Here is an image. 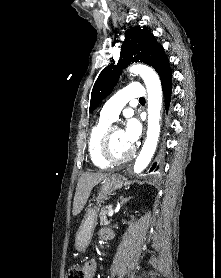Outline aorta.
Listing matches in <instances>:
<instances>
[{"mask_svg":"<svg viewBox=\"0 0 221 278\" xmlns=\"http://www.w3.org/2000/svg\"><path fill=\"white\" fill-rule=\"evenodd\" d=\"M129 72L139 74L148 92V127L147 136L134 164V172H142L150 163L157 147L160 135V110L162 105V88L157 73L149 66L134 64L129 67Z\"/></svg>","mask_w":221,"mask_h":278,"instance_id":"1","label":"aorta"}]
</instances>
